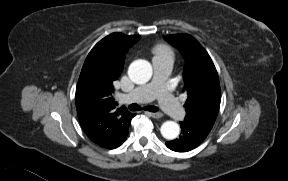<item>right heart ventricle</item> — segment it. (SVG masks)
<instances>
[{
  "label": "right heart ventricle",
  "instance_id": "e07e8e85",
  "mask_svg": "<svg viewBox=\"0 0 288 181\" xmlns=\"http://www.w3.org/2000/svg\"><path fill=\"white\" fill-rule=\"evenodd\" d=\"M154 59L158 58H169L173 61L174 52L173 50L166 45H158L153 50Z\"/></svg>",
  "mask_w": 288,
  "mask_h": 181
}]
</instances>
